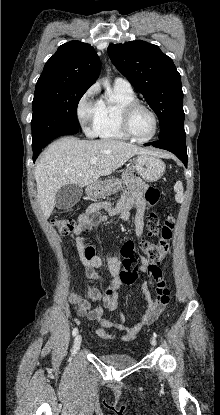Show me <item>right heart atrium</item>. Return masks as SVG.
Returning a JSON list of instances; mask_svg holds the SVG:
<instances>
[{"label":"right heart atrium","instance_id":"right-heart-atrium-1","mask_svg":"<svg viewBox=\"0 0 220 415\" xmlns=\"http://www.w3.org/2000/svg\"><path fill=\"white\" fill-rule=\"evenodd\" d=\"M96 90L90 88L81 98L77 107L79 122L88 135H95L96 122L99 114V103L93 100Z\"/></svg>","mask_w":220,"mask_h":415}]
</instances>
